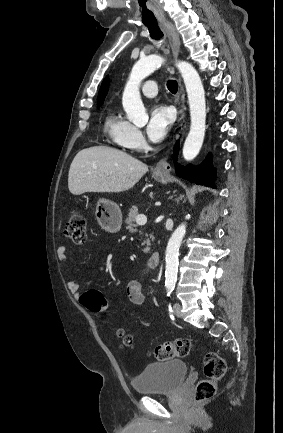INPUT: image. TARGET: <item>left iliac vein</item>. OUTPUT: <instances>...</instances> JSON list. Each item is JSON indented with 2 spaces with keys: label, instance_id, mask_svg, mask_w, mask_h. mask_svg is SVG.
Segmentation results:
<instances>
[{
  "label": "left iliac vein",
  "instance_id": "obj_1",
  "mask_svg": "<svg viewBox=\"0 0 283 433\" xmlns=\"http://www.w3.org/2000/svg\"><path fill=\"white\" fill-rule=\"evenodd\" d=\"M173 309H174V313H175V315H177L178 317H181V316H182V313H181V305H180L178 302H176V303L174 304Z\"/></svg>",
  "mask_w": 283,
  "mask_h": 433
}]
</instances>
